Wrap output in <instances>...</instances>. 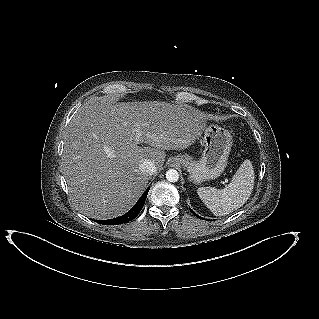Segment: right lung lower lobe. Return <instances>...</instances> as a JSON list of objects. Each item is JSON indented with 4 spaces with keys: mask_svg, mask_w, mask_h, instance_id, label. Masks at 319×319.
<instances>
[{
    "mask_svg": "<svg viewBox=\"0 0 319 319\" xmlns=\"http://www.w3.org/2000/svg\"><path fill=\"white\" fill-rule=\"evenodd\" d=\"M148 191H149V189H147L144 192V194L140 197V199L137 201V203L134 205V207L126 214H124L120 217L114 218V219L102 220V221H97V222L102 223L103 225H118V224H122V223H126V222L131 221L139 214V212L143 208L146 197L148 195Z\"/></svg>",
    "mask_w": 319,
    "mask_h": 319,
    "instance_id": "1",
    "label": "right lung lower lobe"
}]
</instances>
